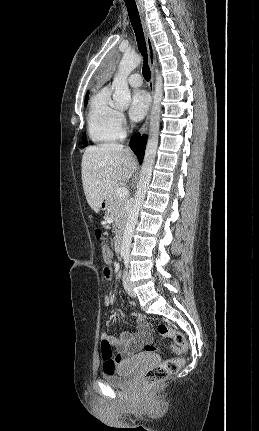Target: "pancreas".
<instances>
[{"label":"pancreas","instance_id":"pancreas-1","mask_svg":"<svg viewBox=\"0 0 259 431\" xmlns=\"http://www.w3.org/2000/svg\"><path fill=\"white\" fill-rule=\"evenodd\" d=\"M120 187V185H116L113 187V189L110 191L108 196V211L111 214V217L115 220H118V224L120 226H123L126 215H127V199L126 198H119L117 196V189ZM119 231L115 230V233L117 234Z\"/></svg>","mask_w":259,"mask_h":431}]
</instances>
